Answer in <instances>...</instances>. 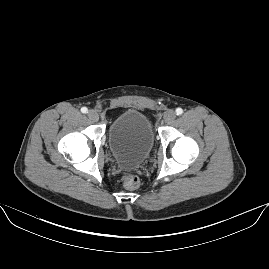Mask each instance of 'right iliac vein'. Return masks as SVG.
Listing matches in <instances>:
<instances>
[{
	"mask_svg": "<svg viewBox=\"0 0 269 269\" xmlns=\"http://www.w3.org/2000/svg\"><path fill=\"white\" fill-rule=\"evenodd\" d=\"M87 116L92 121H98L99 115L95 110H89Z\"/></svg>",
	"mask_w": 269,
	"mask_h": 269,
	"instance_id": "63e3f726",
	"label": "right iliac vein"
}]
</instances>
